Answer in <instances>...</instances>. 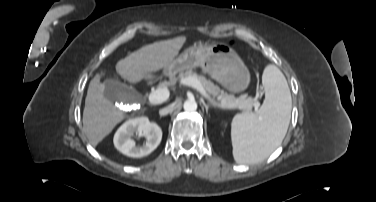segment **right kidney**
<instances>
[{
	"label": "right kidney",
	"instance_id": "right-kidney-1",
	"mask_svg": "<svg viewBox=\"0 0 376 202\" xmlns=\"http://www.w3.org/2000/svg\"><path fill=\"white\" fill-rule=\"evenodd\" d=\"M142 133L146 142L137 146L131 139L133 133ZM162 130L158 124L150 122L147 117H136L129 119L121 125L114 135V145L121 153L133 158H140L149 155L160 144Z\"/></svg>",
	"mask_w": 376,
	"mask_h": 202
}]
</instances>
